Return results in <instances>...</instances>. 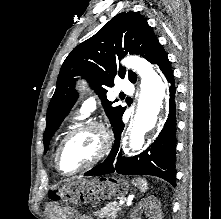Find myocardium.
Returning a JSON list of instances; mask_svg holds the SVG:
<instances>
[{
    "label": "myocardium",
    "mask_w": 221,
    "mask_h": 219,
    "mask_svg": "<svg viewBox=\"0 0 221 219\" xmlns=\"http://www.w3.org/2000/svg\"><path fill=\"white\" fill-rule=\"evenodd\" d=\"M90 129H96L100 133V136H101V144H100V148H99L97 155L88 164L84 165L83 167L75 171H72V172L62 171L60 167V156H61L62 150L65 148V146L69 143V141L72 138ZM111 146H112V133L109 127L105 123H103L102 121H97V120H90V121L84 122L76 126L74 129H72L59 144L55 153V159H54L55 168L61 175L66 176V177L77 175L97 165L108 154V152L111 149Z\"/></svg>",
    "instance_id": "obj_1"
}]
</instances>
